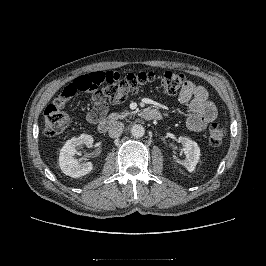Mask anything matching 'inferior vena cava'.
<instances>
[{
  "instance_id": "inferior-vena-cava-1",
  "label": "inferior vena cava",
  "mask_w": 266,
  "mask_h": 266,
  "mask_svg": "<svg viewBox=\"0 0 266 266\" xmlns=\"http://www.w3.org/2000/svg\"><path fill=\"white\" fill-rule=\"evenodd\" d=\"M123 129L124 124L122 122L116 121L109 128V136L111 138H118L122 134Z\"/></svg>"
}]
</instances>
